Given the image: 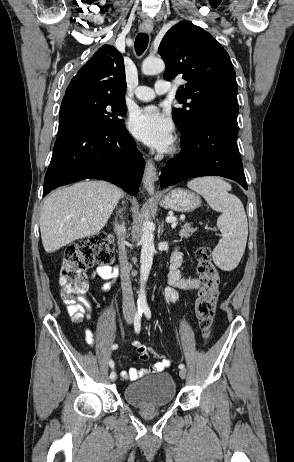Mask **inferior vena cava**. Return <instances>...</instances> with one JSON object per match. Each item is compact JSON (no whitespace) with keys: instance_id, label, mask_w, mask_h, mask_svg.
Segmentation results:
<instances>
[{"instance_id":"inferior-vena-cava-1","label":"inferior vena cava","mask_w":294,"mask_h":462,"mask_svg":"<svg viewBox=\"0 0 294 462\" xmlns=\"http://www.w3.org/2000/svg\"><path fill=\"white\" fill-rule=\"evenodd\" d=\"M117 229L121 232L125 231L124 223L122 225H118ZM120 265H121V287H122V310L124 315H133L136 311L134 298H133V291L130 281V272L125 260V256L122 255L120 258Z\"/></svg>"}]
</instances>
